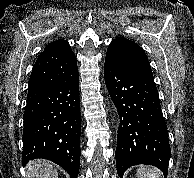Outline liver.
<instances>
[{"label":"liver","mask_w":194,"mask_h":178,"mask_svg":"<svg viewBox=\"0 0 194 178\" xmlns=\"http://www.w3.org/2000/svg\"><path fill=\"white\" fill-rule=\"evenodd\" d=\"M27 178H58L56 166L44 159L33 160L26 167Z\"/></svg>","instance_id":"obj_1"}]
</instances>
